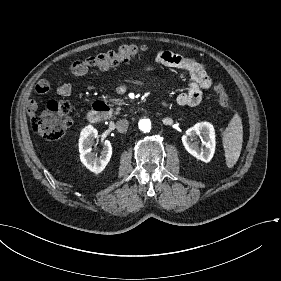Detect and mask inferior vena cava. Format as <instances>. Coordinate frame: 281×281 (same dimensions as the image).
Listing matches in <instances>:
<instances>
[{
  "mask_svg": "<svg viewBox=\"0 0 281 281\" xmlns=\"http://www.w3.org/2000/svg\"><path fill=\"white\" fill-rule=\"evenodd\" d=\"M129 127V122L127 120H118L116 122V128L119 132H126Z\"/></svg>",
  "mask_w": 281,
  "mask_h": 281,
  "instance_id": "obj_1",
  "label": "inferior vena cava"
}]
</instances>
